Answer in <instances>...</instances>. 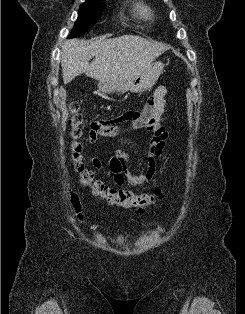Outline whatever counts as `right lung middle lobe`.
I'll return each mask as SVG.
<instances>
[{
    "label": "right lung middle lobe",
    "instance_id": "1",
    "mask_svg": "<svg viewBox=\"0 0 245 314\" xmlns=\"http://www.w3.org/2000/svg\"><path fill=\"white\" fill-rule=\"evenodd\" d=\"M102 0H86L78 12V19L75 22L70 37H78L83 35L93 26L102 16L105 6Z\"/></svg>",
    "mask_w": 245,
    "mask_h": 314
}]
</instances>
